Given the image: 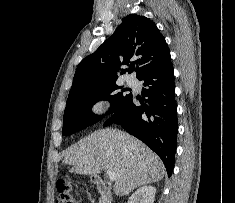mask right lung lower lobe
<instances>
[{
	"label": "right lung lower lobe",
	"mask_w": 235,
	"mask_h": 203,
	"mask_svg": "<svg viewBox=\"0 0 235 203\" xmlns=\"http://www.w3.org/2000/svg\"><path fill=\"white\" fill-rule=\"evenodd\" d=\"M139 80L145 103L136 106L131 94L103 126L121 125L129 134L143 141L162 159L171 176L177 147V105L171 60L145 72Z\"/></svg>",
	"instance_id": "1"
}]
</instances>
